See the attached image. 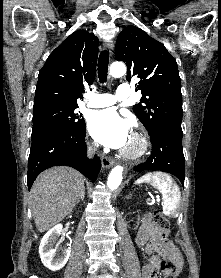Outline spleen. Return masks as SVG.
Returning <instances> with one entry per match:
<instances>
[{"mask_svg":"<svg viewBox=\"0 0 221 278\" xmlns=\"http://www.w3.org/2000/svg\"><path fill=\"white\" fill-rule=\"evenodd\" d=\"M135 183H149L158 189L163 197V214L168 217H176L181 192L169 175L162 172H149L137 179Z\"/></svg>","mask_w":221,"mask_h":278,"instance_id":"obj_1","label":"spleen"}]
</instances>
